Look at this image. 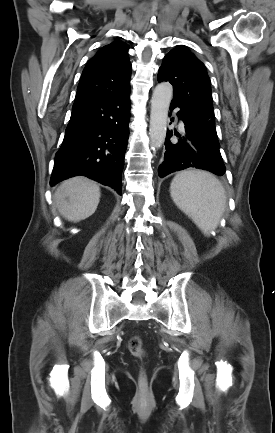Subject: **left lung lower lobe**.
I'll list each match as a JSON object with an SVG mask.
<instances>
[{"label": "left lung lower lobe", "mask_w": 275, "mask_h": 433, "mask_svg": "<svg viewBox=\"0 0 275 433\" xmlns=\"http://www.w3.org/2000/svg\"><path fill=\"white\" fill-rule=\"evenodd\" d=\"M176 107L180 108L177 115L184 122L185 131L180 135L176 131L167 130L166 151L164 160L158 169L159 176L164 177L188 167L207 170L219 176L224 175L225 165L215 138L204 129L194 125L183 103L173 98L170 105L171 111ZM173 134L178 137L177 141L170 140Z\"/></svg>", "instance_id": "1"}]
</instances>
